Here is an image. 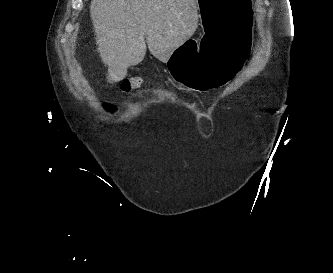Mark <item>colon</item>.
<instances>
[{"instance_id": "1", "label": "colon", "mask_w": 333, "mask_h": 273, "mask_svg": "<svg viewBox=\"0 0 333 273\" xmlns=\"http://www.w3.org/2000/svg\"><path fill=\"white\" fill-rule=\"evenodd\" d=\"M141 84L140 79H128L122 83V89L125 91L130 90L132 87L139 86Z\"/></svg>"}]
</instances>
